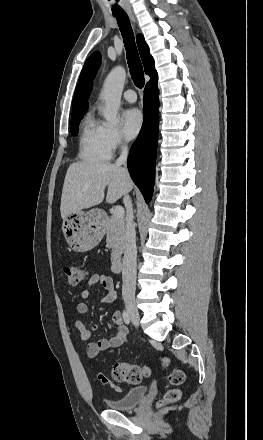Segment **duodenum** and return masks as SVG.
<instances>
[{
	"label": "duodenum",
	"mask_w": 263,
	"mask_h": 440,
	"mask_svg": "<svg viewBox=\"0 0 263 440\" xmlns=\"http://www.w3.org/2000/svg\"><path fill=\"white\" fill-rule=\"evenodd\" d=\"M122 269H123V261H122L121 259H117V260L114 262V265H113V271H114L115 273H119V272L122 271Z\"/></svg>",
	"instance_id": "duodenum-1"
}]
</instances>
